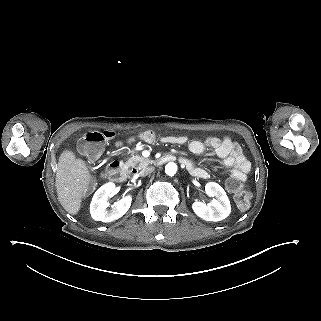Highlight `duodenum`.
<instances>
[{"mask_svg":"<svg viewBox=\"0 0 321 321\" xmlns=\"http://www.w3.org/2000/svg\"><path fill=\"white\" fill-rule=\"evenodd\" d=\"M175 160V156L172 154H166L158 160V164H165ZM184 162V160H182ZM107 174L112 181L123 182L126 179V170L123 164L118 161H112L107 168Z\"/></svg>","mask_w":321,"mask_h":321,"instance_id":"410a0bca","label":"duodenum"}]
</instances>
